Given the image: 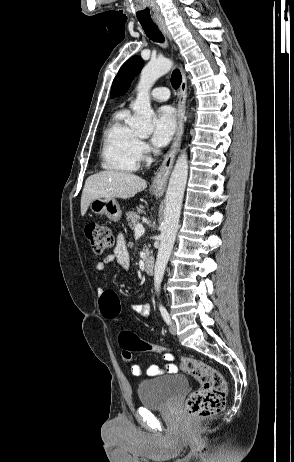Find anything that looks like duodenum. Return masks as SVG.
Segmentation results:
<instances>
[{
	"mask_svg": "<svg viewBox=\"0 0 294 462\" xmlns=\"http://www.w3.org/2000/svg\"><path fill=\"white\" fill-rule=\"evenodd\" d=\"M154 259L152 256H146L144 258V270L147 274H152L154 271Z\"/></svg>",
	"mask_w": 294,
	"mask_h": 462,
	"instance_id": "1",
	"label": "duodenum"
}]
</instances>
